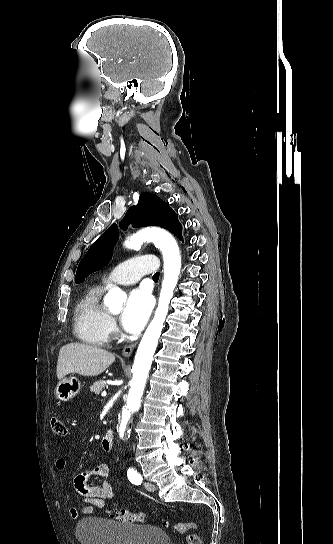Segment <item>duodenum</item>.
Listing matches in <instances>:
<instances>
[{
	"instance_id": "1",
	"label": "duodenum",
	"mask_w": 333,
	"mask_h": 544,
	"mask_svg": "<svg viewBox=\"0 0 333 544\" xmlns=\"http://www.w3.org/2000/svg\"><path fill=\"white\" fill-rule=\"evenodd\" d=\"M114 446V434L112 430H108L102 438V448L105 451H111Z\"/></svg>"
}]
</instances>
